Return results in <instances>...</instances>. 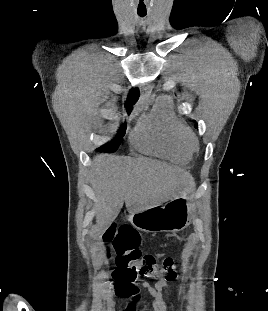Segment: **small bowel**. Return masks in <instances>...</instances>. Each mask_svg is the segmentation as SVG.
Listing matches in <instances>:
<instances>
[{"label": "small bowel", "instance_id": "c3829d8e", "mask_svg": "<svg viewBox=\"0 0 268 311\" xmlns=\"http://www.w3.org/2000/svg\"><path fill=\"white\" fill-rule=\"evenodd\" d=\"M170 245V242H164L160 244V247L166 248ZM175 281V277L171 279L161 278L156 281L154 284L149 283L148 281L141 279L138 283H135L137 291L131 294L128 297H123L119 295L116 291V294L123 298H130L131 302L128 304L125 311H139L140 306V295H139V288L144 289L151 298V306L153 311H166V304L163 298V291L164 289L172 284ZM115 306L114 301H108L104 306V311L111 309Z\"/></svg>", "mask_w": 268, "mask_h": 311}]
</instances>
